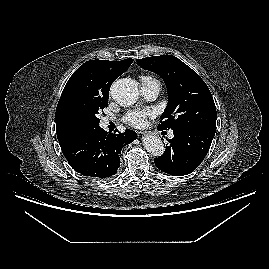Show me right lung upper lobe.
Here are the masks:
<instances>
[{"label": "right lung upper lobe", "instance_id": "obj_1", "mask_svg": "<svg viewBox=\"0 0 269 269\" xmlns=\"http://www.w3.org/2000/svg\"><path fill=\"white\" fill-rule=\"evenodd\" d=\"M133 59L118 62L90 60L81 65L68 80L58 102L55 120L58 139L77 131L88 130L76 124L68 113L70 98L77 92L109 95L113 81L132 64Z\"/></svg>", "mask_w": 269, "mask_h": 269}]
</instances>
